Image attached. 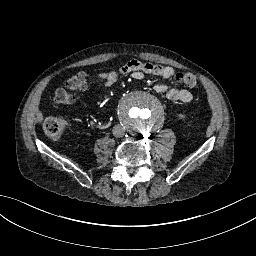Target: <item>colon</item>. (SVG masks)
<instances>
[{
    "mask_svg": "<svg viewBox=\"0 0 256 256\" xmlns=\"http://www.w3.org/2000/svg\"><path fill=\"white\" fill-rule=\"evenodd\" d=\"M176 81L180 85L191 88H196L199 85L197 78L189 73L179 72L175 75ZM87 85L86 77L83 73H78L68 78L64 85L59 88L54 95L53 102L56 106L65 107L73 102L70 94L71 91L84 89ZM66 128V122L59 117L47 118L43 123L45 134L53 139L59 140L62 138Z\"/></svg>",
    "mask_w": 256,
    "mask_h": 256,
    "instance_id": "5ec220e1",
    "label": "colon"
}]
</instances>
